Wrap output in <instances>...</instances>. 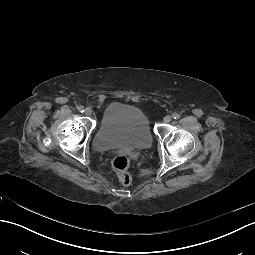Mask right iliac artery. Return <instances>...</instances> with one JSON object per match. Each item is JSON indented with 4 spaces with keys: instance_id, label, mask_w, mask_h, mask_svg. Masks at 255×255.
Instances as JSON below:
<instances>
[{
    "instance_id": "82829eb1",
    "label": "right iliac artery",
    "mask_w": 255,
    "mask_h": 255,
    "mask_svg": "<svg viewBox=\"0 0 255 255\" xmlns=\"http://www.w3.org/2000/svg\"><path fill=\"white\" fill-rule=\"evenodd\" d=\"M78 111L81 112V113L84 112V107L83 106H79L78 107Z\"/></svg>"
}]
</instances>
